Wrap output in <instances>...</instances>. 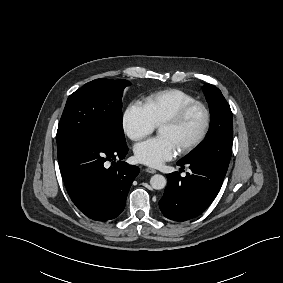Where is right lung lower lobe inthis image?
Instances as JSON below:
<instances>
[{
    "mask_svg": "<svg viewBox=\"0 0 283 283\" xmlns=\"http://www.w3.org/2000/svg\"><path fill=\"white\" fill-rule=\"evenodd\" d=\"M127 152L126 143L94 135L77 138L58 150L69 196L87 217L106 221L123 211L130 186L139 173L137 166L122 161ZM108 162H112L109 168Z\"/></svg>",
    "mask_w": 283,
    "mask_h": 283,
    "instance_id": "right-lung-lower-lobe-1",
    "label": "right lung lower lobe"
}]
</instances>
